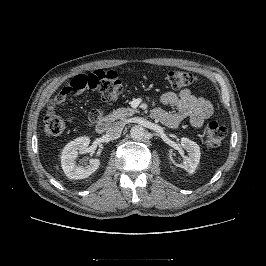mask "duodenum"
<instances>
[{
    "label": "duodenum",
    "mask_w": 266,
    "mask_h": 266,
    "mask_svg": "<svg viewBox=\"0 0 266 266\" xmlns=\"http://www.w3.org/2000/svg\"><path fill=\"white\" fill-rule=\"evenodd\" d=\"M150 116L160 121L164 117V114L158 109H153L150 112ZM92 121L94 122L95 130L98 134H105L109 130L111 122L107 117L100 116L95 119H92Z\"/></svg>",
    "instance_id": "1"
}]
</instances>
